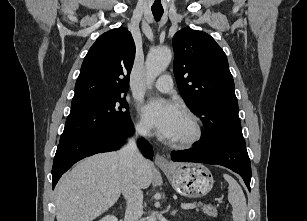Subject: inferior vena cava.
<instances>
[{
    "label": "inferior vena cava",
    "instance_id": "1",
    "mask_svg": "<svg viewBox=\"0 0 307 221\" xmlns=\"http://www.w3.org/2000/svg\"><path fill=\"white\" fill-rule=\"evenodd\" d=\"M138 135H146V129L141 126L136 127V136L130 138L120 151L125 167L121 190L127 200L124 221H139L143 213V192L137 180V171L145 165L146 161L136 147L135 138Z\"/></svg>",
    "mask_w": 307,
    "mask_h": 221
}]
</instances>
